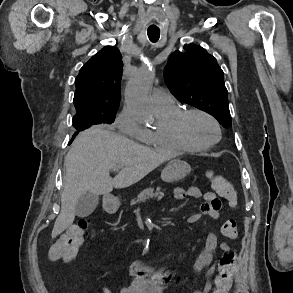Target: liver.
<instances>
[{"label":"liver","mask_w":293,"mask_h":293,"mask_svg":"<svg viewBox=\"0 0 293 293\" xmlns=\"http://www.w3.org/2000/svg\"><path fill=\"white\" fill-rule=\"evenodd\" d=\"M173 156L156 152L100 126L81 132L64 160L66 175L61 212L55 221L52 237L72 225L76 203L83 194L106 195L113 188L129 187ZM116 166H120L121 171L112 178L110 170Z\"/></svg>","instance_id":"6515ba94"}]
</instances>
